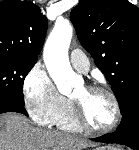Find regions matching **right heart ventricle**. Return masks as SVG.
<instances>
[{
	"label": "right heart ventricle",
	"instance_id": "obj_1",
	"mask_svg": "<svg viewBox=\"0 0 139 150\" xmlns=\"http://www.w3.org/2000/svg\"><path fill=\"white\" fill-rule=\"evenodd\" d=\"M53 125L60 130L68 132H79L82 130L75 120L73 105L70 100L66 99L63 108L55 117Z\"/></svg>",
	"mask_w": 139,
	"mask_h": 150
}]
</instances>
